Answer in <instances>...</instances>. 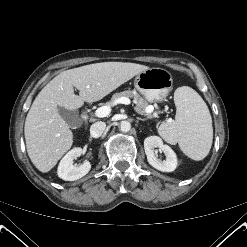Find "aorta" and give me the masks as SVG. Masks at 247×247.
<instances>
[{"label":"aorta","mask_w":247,"mask_h":247,"mask_svg":"<svg viewBox=\"0 0 247 247\" xmlns=\"http://www.w3.org/2000/svg\"><path fill=\"white\" fill-rule=\"evenodd\" d=\"M119 128L122 132H128L131 129V123L129 121H121Z\"/></svg>","instance_id":"aorta-1"}]
</instances>
